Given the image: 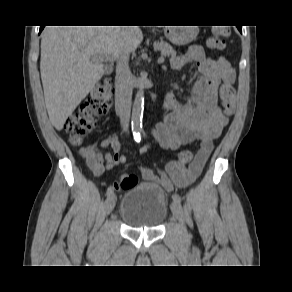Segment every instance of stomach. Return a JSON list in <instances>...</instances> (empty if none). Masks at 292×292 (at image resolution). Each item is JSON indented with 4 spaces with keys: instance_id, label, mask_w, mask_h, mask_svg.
Instances as JSON below:
<instances>
[{
    "instance_id": "0dacf381",
    "label": "stomach",
    "mask_w": 292,
    "mask_h": 292,
    "mask_svg": "<svg viewBox=\"0 0 292 292\" xmlns=\"http://www.w3.org/2000/svg\"><path fill=\"white\" fill-rule=\"evenodd\" d=\"M198 31L197 26L170 27L165 30V36L175 45H186L196 38Z\"/></svg>"
}]
</instances>
